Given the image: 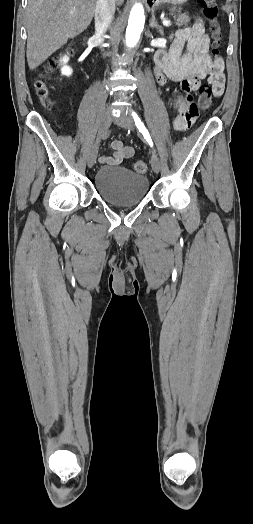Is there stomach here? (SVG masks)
Listing matches in <instances>:
<instances>
[{
    "label": "stomach",
    "mask_w": 253,
    "mask_h": 524,
    "mask_svg": "<svg viewBox=\"0 0 253 524\" xmlns=\"http://www.w3.org/2000/svg\"><path fill=\"white\" fill-rule=\"evenodd\" d=\"M149 1L151 5L154 7L162 3H168V4H173V5L182 4V3L187 2L188 0H149Z\"/></svg>",
    "instance_id": "stomach-1"
}]
</instances>
